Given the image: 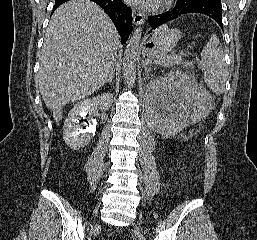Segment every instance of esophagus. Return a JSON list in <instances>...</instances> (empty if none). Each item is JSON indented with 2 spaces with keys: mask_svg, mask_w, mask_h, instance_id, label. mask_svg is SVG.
<instances>
[{
  "mask_svg": "<svg viewBox=\"0 0 257 240\" xmlns=\"http://www.w3.org/2000/svg\"><path fill=\"white\" fill-rule=\"evenodd\" d=\"M145 21V14L141 12L134 13L133 15V22L135 25H141Z\"/></svg>",
  "mask_w": 257,
  "mask_h": 240,
  "instance_id": "34e87169",
  "label": "esophagus"
}]
</instances>
